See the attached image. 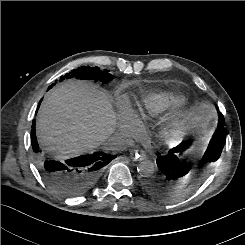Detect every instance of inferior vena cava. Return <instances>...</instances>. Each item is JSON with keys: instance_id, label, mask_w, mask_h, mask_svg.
Listing matches in <instances>:
<instances>
[{"instance_id": "1", "label": "inferior vena cava", "mask_w": 245, "mask_h": 245, "mask_svg": "<svg viewBox=\"0 0 245 245\" xmlns=\"http://www.w3.org/2000/svg\"><path fill=\"white\" fill-rule=\"evenodd\" d=\"M132 144L133 141L130 138H127L125 136H115V137H111L105 143L104 147L106 150L123 151L126 150L127 147L131 146Z\"/></svg>"}]
</instances>
